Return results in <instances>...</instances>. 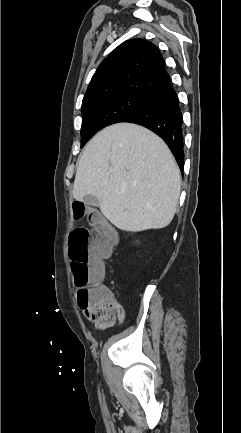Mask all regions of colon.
Instances as JSON below:
<instances>
[{"label": "colon", "instance_id": "1", "mask_svg": "<svg viewBox=\"0 0 241 433\" xmlns=\"http://www.w3.org/2000/svg\"><path fill=\"white\" fill-rule=\"evenodd\" d=\"M71 217L73 221H84L89 214V220L94 227L93 239L87 228H78L70 237L69 256L75 272L77 297L81 304L80 310L95 305L108 296L103 288L104 267L106 257L116 243V237L104 218L91 211L85 200L71 202Z\"/></svg>", "mask_w": 241, "mask_h": 433}]
</instances>
